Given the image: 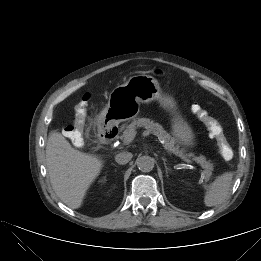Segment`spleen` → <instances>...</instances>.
Here are the masks:
<instances>
[{"label": "spleen", "mask_w": 261, "mask_h": 261, "mask_svg": "<svg viewBox=\"0 0 261 261\" xmlns=\"http://www.w3.org/2000/svg\"><path fill=\"white\" fill-rule=\"evenodd\" d=\"M232 179V172H225L220 175L208 186L204 197V204L207 207H213L224 202L229 194Z\"/></svg>", "instance_id": "3e777b00"}]
</instances>
